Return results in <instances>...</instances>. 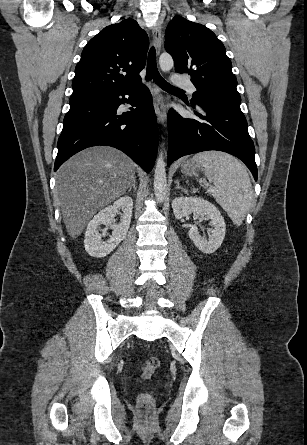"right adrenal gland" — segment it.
Segmentation results:
<instances>
[{
  "label": "right adrenal gland",
  "mask_w": 307,
  "mask_h": 445,
  "mask_svg": "<svg viewBox=\"0 0 307 445\" xmlns=\"http://www.w3.org/2000/svg\"><path fill=\"white\" fill-rule=\"evenodd\" d=\"M131 188H134L136 190V176H134V180H132L131 186H129L128 190H131Z\"/></svg>",
  "instance_id": "obj_1"
}]
</instances>
